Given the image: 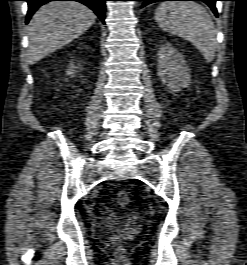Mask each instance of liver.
I'll return each mask as SVG.
<instances>
[{"instance_id":"obj_1","label":"liver","mask_w":247,"mask_h":265,"mask_svg":"<svg viewBox=\"0 0 247 265\" xmlns=\"http://www.w3.org/2000/svg\"><path fill=\"white\" fill-rule=\"evenodd\" d=\"M95 20L92 10L78 2L56 1L43 5L28 25L29 63H37L78 38Z\"/></svg>"}]
</instances>
